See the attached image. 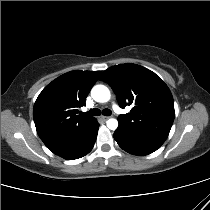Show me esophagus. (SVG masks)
Listing matches in <instances>:
<instances>
[{"instance_id":"esophagus-1","label":"esophagus","mask_w":210,"mask_h":210,"mask_svg":"<svg viewBox=\"0 0 210 210\" xmlns=\"http://www.w3.org/2000/svg\"><path fill=\"white\" fill-rule=\"evenodd\" d=\"M101 119H102L103 121H106V120L109 119V116H101Z\"/></svg>"}]
</instances>
